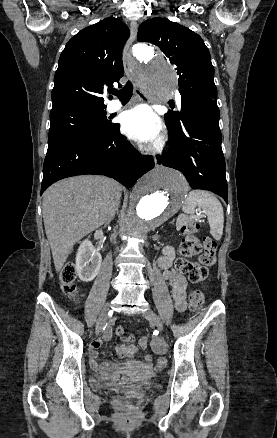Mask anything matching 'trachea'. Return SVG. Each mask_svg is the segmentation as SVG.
<instances>
[{
	"instance_id": "trachea-1",
	"label": "trachea",
	"mask_w": 277,
	"mask_h": 438,
	"mask_svg": "<svg viewBox=\"0 0 277 438\" xmlns=\"http://www.w3.org/2000/svg\"><path fill=\"white\" fill-rule=\"evenodd\" d=\"M133 84L128 81L126 85L120 90H109V93L116 95L120 100H129L132 96Z\"/></svg>"
}]
</instances>
